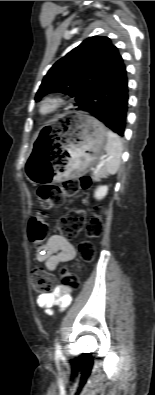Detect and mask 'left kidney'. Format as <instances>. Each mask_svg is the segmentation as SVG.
<instances>
[{
  "instance_id": "obj_1",
  "label": "left kidney",
  "mask_w": 155,
  "mask_h": 395,
  "mask_svg": "<svg viewBox=\"0 0 155 395\" xmlns=\"http://www.w3.org/2000/svg\"><path fill=\"white\" fill-rule=\"evenodd\" d=\"M108 192V186H99L95 191V198L100 200L106 196Z\"/></svg>"
}]
</instances>
